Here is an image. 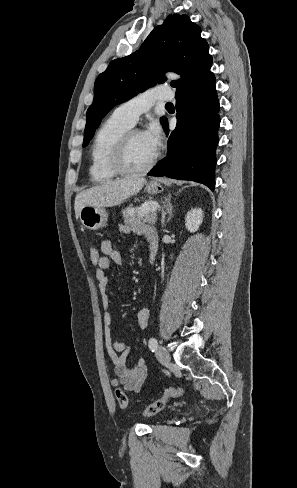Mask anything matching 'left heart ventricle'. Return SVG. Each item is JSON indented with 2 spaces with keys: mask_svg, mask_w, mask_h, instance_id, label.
Returning <instances> with one entry per match:
<instances>
[{
  "mask_svg": "<svg viewBox=\"0 0 297 488\" xmlns=\"http://www.w3.org/2000/svg\"><path fill=\"white\" fill-rule=\"evenodd\" d=\"M155 153L150 149L141 132L135 133L127 150V165L131 168H140L147 165Z\"/></svg>",
  "mask_w": 297,
  "mask_h": 488,
  "instance_id": "left-heart-ventricle-1",
  "label": "left heart ventricle"
}]
</instances>
